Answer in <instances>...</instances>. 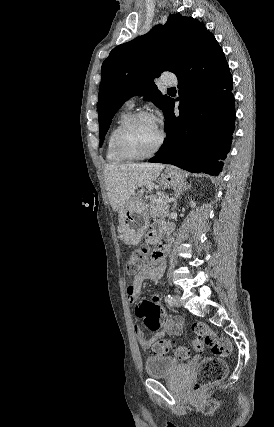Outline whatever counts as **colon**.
Wrapping results in <instances>:
<instances>
[{"label":"colon","instance_id":"obj_1","mask_svg":"<svg viewBox=\"0 0 274 427\" xmlns=\"http://www.w3.org/2000/svg\"><path fill=\"white\" fill-rule=\"evenodd\" d=\"M151 253L149 248L143 247L130 254L126 262L127 272L131 275L140 272L147 264ZM191 330L196 335V346L198 348L208 347L213 354L212 357H207L200 362L195 378L190 384L193 395H204L205 388L225 379L227 365L221 357H227L231 354V345L226 338L220 337L204 323L193 324ZM155 346L153 351L155 356H165L167 352H171L179 359L189 357V350L186 346L178 345L169 340L157 341Z\"/></svg>","mask_w":274,"mask_h":427}]
</instances>
